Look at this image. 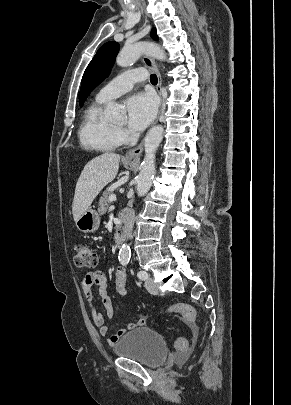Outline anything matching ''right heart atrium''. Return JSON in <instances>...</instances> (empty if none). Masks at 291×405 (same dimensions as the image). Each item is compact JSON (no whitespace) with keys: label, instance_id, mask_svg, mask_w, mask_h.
<instances>
[{"label":"right heart atrium","instance_id":"obj_1","mask_svg":"<svg viewBox=\"0 0 291 405\" xmlns=\"http://www.w3.org/2000/svg\"><path fill=\"white\" fill-rule=\"evenodd\" d=\"M117 136L120 141L126 138V132L123 129H117Z\"/></svg>","mask_w":291,"mask_h":405}]
</instances>
